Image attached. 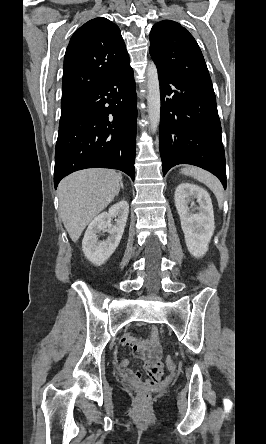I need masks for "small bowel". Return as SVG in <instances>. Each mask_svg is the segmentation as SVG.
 Instances as JSON below:
<instances>
[{
	"mask_svg": "<svg viewBox=\"0 0 266 444\" xmlns=\"http://www.w3.org/2000/svg\"><path fill=\"white\" fill-rule=\"evenodd\" d=\"M122 345L133 349L136 356L147 363L148 379L145 384L154 387L164 375V365L160 360L161 347L156 327L151 328L150 337L146 340H137L126 335L122 338ZM118 368L124 372L134 384H141V373L129 367L128 359H122Z\"/></svg>",
	"mask_w": 266,
	"mask_h": 444,
	"instance_id": "obj_1",
	"label": "small bowel"
}]
</instances>
